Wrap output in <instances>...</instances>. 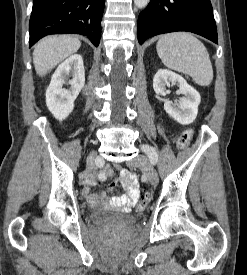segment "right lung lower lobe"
<instances>
[{
	"label": "right lung lower lobe",
	"instance_id": "1",
	"mask_svg": "<svg viewBox=\"0 0 247 275\" xmlns=\"http://www.w3.org/2000/svg\"><path fill=\"white\" fill-rule=\"evenodd\" d=\"M105 0H33L29 45L49 34L86 35L97 47Z\"/></svg>",
	"mask_w": 247,
	"mask_h": 275
}]
</instances>
